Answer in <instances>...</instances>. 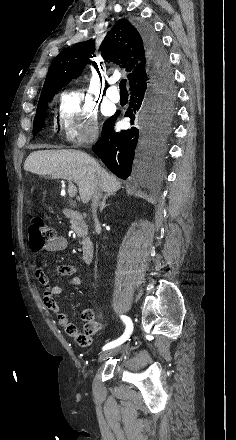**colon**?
Segmentation results:
<instances>
[{"label": "colon", "instance_id": "5ec220e1", "mask_svg": "<svg viewBox=\"0 0 236 440\" xmlns=\"http://www.w3.org/2000/svg\"><path fill=\"white\" fill-rule=\"evenodd\" d=\"M28 236L31 249L38 251L55 238V230L41 216L33 215L28 221Z\"/></svg>", "mask_w": 236, "mask_h": 440}]
</instances>
